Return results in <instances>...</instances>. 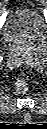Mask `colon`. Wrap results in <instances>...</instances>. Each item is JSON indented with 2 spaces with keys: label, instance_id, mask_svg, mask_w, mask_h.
Returning <instances> with one entry per match:
<instances>
[{
  "label": "colon",
  "instance_id": "colon-1",
  "mask_svg": "<svg viewBox=\"0 0 47 129\" xmlns=\"http://www.w3.org/2000/svg\"><path fill=\"white\" fill-rule=\"evenodd\" d=\"M15 87L19 92H26L30 87L29 77L24 75L17 79Z\"/></svg>",
  "mask_w": 47,
  "mask_h": 129
}]
</instances>
